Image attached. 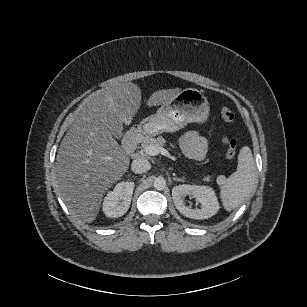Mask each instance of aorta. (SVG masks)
Returning a JSON list of instances; mask_svg holds the SVG:
<instances>
[{
	"instance_id": "762f6f07",
	"label": "aorta",
	"mask_w": 307,
	"mask_h": 307,
	"mask_svg": "<svg viewBox=\"0 0 307 307\" xmlns=\"http://www.w3.org/2000/svg\"><path fill=\"white\" fill-rule=\"evenodd\" d=\"M154 187L157 190H163L166 187V180L163 177H157L154 180Z\"/></svg>"
}]
</instances>
